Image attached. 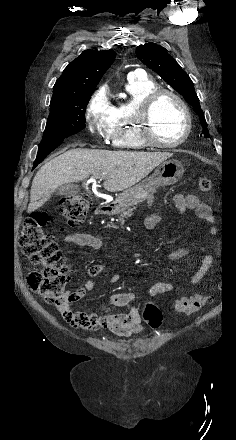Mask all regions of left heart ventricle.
Here are the masks:
<instances>
[{
	"instance_id": "b2bd125f",
	"label": "left heart ventricle",
	"mask_w": 236,
	"mask_h": 440,
	"mask_svg": "<svg viewBox=\"0 0 236 440\" xmlns=\"http://www.w3.org/2000/svg\"><path fill=\"white\" fill-rule=\"evenodd\" d=\"M155 137L164 143L178 140L185 129V117L180 105L168 95L161 96L152 111Z\"/></svg>"
}]
</instances>
